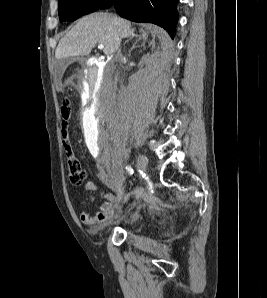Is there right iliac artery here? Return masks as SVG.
<instances>
[{
	"mask_svg": "<svg viewBox=\"0 0 267 298\" xmlns=\"http://www.w3.org/2000/svg\"><path fill=\"white\" fill-rule=\"evenodd\" d=\"M128 172H129L130 175H132L133 174V169L132 168H128Z\"/></svg>",
	"mask_w": 267,
	"mask_h": 298,
	"instance_id": "82829eb1",
	"label": "right iliac artery"
}]
</instances>
